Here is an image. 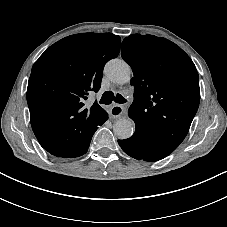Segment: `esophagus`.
Listing matches in <instances>:
<instances>
[{
  "instance_id": "34e87169",
  "label": "esophagus",
  "mask_w": 227,
  "mask_h": 227,
  "mask_svg": "<svg viewBox=\"0 0 227 227\" xmlns=\"http://www.w3.org/2000/svg\"><path fill=\"white\" fill-rule=\"evenodd\" d=\"M125 109L121 105H113L109 110V115L112 118L120 117L124 113Z\"/></svg>"
}]
</instances>
